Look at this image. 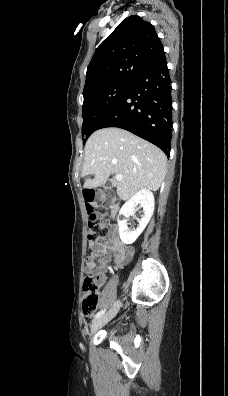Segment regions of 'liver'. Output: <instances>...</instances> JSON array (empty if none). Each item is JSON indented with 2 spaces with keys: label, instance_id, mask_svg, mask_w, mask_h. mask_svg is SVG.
<instances>
[{
  "label": "liver",
  "instance_id": "obj_1",
  "mask_svg": "<svg viewBox=\"0 0 228 396\" xmlns=\"http://www.w3.org/2000/svg\"><path fill=\"white\" fill-rule=\"evenodd\" d=\"M167 158L150 142L120 128L95 131L85 145V162L81 176H94L84 188L102 186L111 174L123 175L122 181L112 179L122 200L132 198L138 191H157L166 175Z\"/></svg>",
  "mask_w": 228,
  "mask_h": 396
}]
</instances>
